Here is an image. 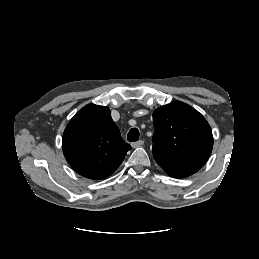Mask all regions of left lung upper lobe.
Here are the masks:
<instances>
[{
    "mask_svg": "<svg viewBox=\"0 0 259 259\" xmlns=\"http://www.w3.org/2000/svg\"><path fill=\"white\" fill-rule=\"evenodd\" d=\"M153 156L177 164L203 166L212 147V130L206 119L181 101L159 107L153 113Z\"/></svg>",
    "mask_w": 259,
    "mask_h": 259,
    "instance_id": "1",
    "label": "left lung upper lobe"
}]
</instances>
